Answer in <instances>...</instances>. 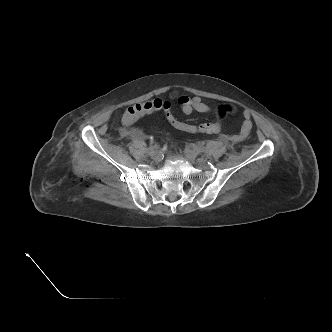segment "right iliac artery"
Listing matches in <instances>:
<instances>
[{
    "mask_svg": "<svg viewBox=\"0 0 332 332\" xmlns=\"http://www.w3.org/2000/svg\"><path fill=\"white\" fill-rule=\"evenodd\" d=\"M154 148H155V146L151 144V145L148 147L147 150H148V151H152Z\"/></svg>",
    "mask_w": 332,
    "mask_h": 332,
    "instance_id": "right-iliac-artery-1",
    "label": "right iliac artery"
}]
</instances>
